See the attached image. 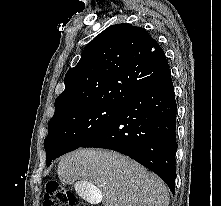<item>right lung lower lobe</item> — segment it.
<instances>
[{
    "mask_svg": "<svg viewBox=\"0 0 221 206\" xmlns=\"http://www.w3.org/2000/svg\"><path fill=\"white\" fill-rule=\"evenodd\" d=\"M176 112L168 69L121 106L118 115L81 147L123 153L158 174L175 192Z\"/></svg>",
    "mask_w": 221,
    "mask_h": 206,
    "instance_id": "right-lung-lower-lobe-1",
    "label": "right lung lower lobe"
}]
</instances>
